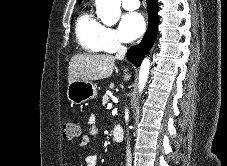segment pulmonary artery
<instances>
[{
	"instance_id": "e3ab8cb5",
	"label": "pulmonary artery",
	"mask_w": 227,
	"mask_h": 166,
	"mask_svg": "<svg viewBox=\"0 0 227 166\" xmlns=\"http://www.w3.org/2000/svg\"><path fill=\"white\" fill-rule=\"evenodd\" d=\"M122 7L126 10H136L140 7L139 0H122Z\"/></svg>"
}]
</instances>
